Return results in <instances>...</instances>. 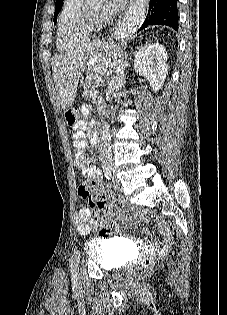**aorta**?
<instances>
[{"instance_id":"aorta-1","label":"aorta","mask_w":227,"mask_h":315,"mask_svg":"<svg viewBox=\"0 0 227 315\" xmlns=\"http://www.w3.org/2000/svg\"><path fill=\"white\" fill-rule=\"evenodd\" d=\"M133 32L132 27L128 23H123L118 29V38L123 40ZM100 159L107 163L112 162L111 146H110V125L105 123L102 126L99 138Z\"/></svg>"}]
</instances>
